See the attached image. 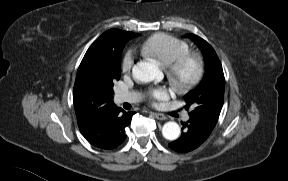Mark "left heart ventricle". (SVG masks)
I'll return each instance as SVG.
<instances>
[{
  "mask_svg": "<svg viewBox=\"0 0 288 181\" xmlns=\"http://www.w3.org/2000/svg\"><path fill=\"white\" fill-rule=\"evenodd\" d=\"M192 73V66H187L186 68H185V70H184V75L185 76H188V75H190Z\"/></svg>",
  "mask_w": 288,
  "mask_h": 181,
  "instance_id": "left-heart-ventricle-1",
  "label": "left heart ventricle"
}]
</instances>
